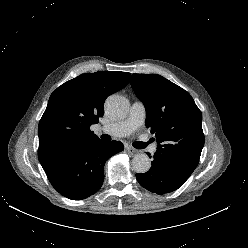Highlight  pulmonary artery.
I'll return each mask as SVG.
<instances>
[{
	"label": "pulmonary artery",
	"instance_id": "obj_1",
	"mask_svg": "<svg viewBox=\"0 0 248 248\" xmlns=\"http://www.w3.org/2000/svg\"><path fill=\"white\" fill-rule=\"evenodd\" d=\"M145 117L146 110L144 104L140 101H134L127 118L105 124L98 130L111 136L125 137L140 127L144 123Z\"/></svg>",
	"mask_w": 248,
	"mask_h": 248
}]
</instances>
